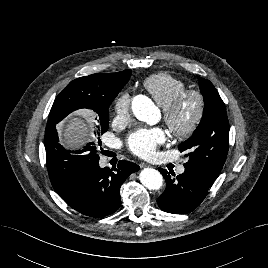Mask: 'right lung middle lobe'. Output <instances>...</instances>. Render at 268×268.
<instances>
[{"instance_id": "dd1d6c3e", "label": "right lung middle lobe", "mask_w": 268, "mask_h": 268, "mask_svg": "<svg viewBox=\"0 0 268 268\" xmlns=\"http://www.w3.org/2000/svg\"><path fill=\"white\" fill-rule=\"evenodd\" d=\"M64 111V102L55 100L48 122L63 119L66 116ZM96 113L99 116V126H97V133L99 135V132L104 133L108 130L109 110L105 108L96 111ZM45 149L49 177L58 195L61 193L65 194L76 183L78 178L94 162L99 160L95 143L89 142L86 146L78 150L65 149L58 141L57 131L49 132L47 129L45 134Z\"/></svg>"}]
</instances>
